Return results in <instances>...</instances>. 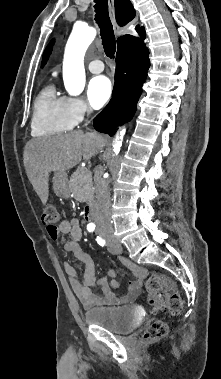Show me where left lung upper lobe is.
I'll list each match as a JSON object with an SVG mask.
<instances>
[{
	"label": "left lung upper lobe",
	"mask_w": 221,
	"mask_h": 379,
	"mask_svg": "<svg viewBox=\"0 0 221 379\" xmlns=\"http://www.w3.org/2000/svg\"><path fill=\"white\" fill-rule=\"evenodd\" d=\"M53 43H54V40H52L50 42V44L47 46V48L45 49V52H44V55H43V64L45 63V61H46V59H47V57H48V55H49V53H50V51L52 49Z\"/></svg>",
	"instance_id": "left-lung-upper-lobe-1"
}]
</instances>
